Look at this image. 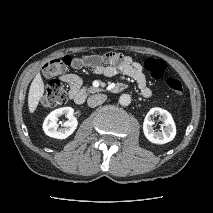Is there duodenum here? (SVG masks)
Returning <instances> with one entry per match:
<instances>
[{
    "mask_svg": "<svg viewBox=\"0 0 213 213\" xmlns=\"http://www.w3.org/2000/svg\"><path fill=\"white\" fill-rule=\"evenodd\" d=\"M127 86L123 83H118L114 86H112L109 91L111 93H120L123 92ZM101 91L98 89H90V90H80L78 91L75 96L73 97V100L76 104H83L87 97L94 94H99Z\"/></svg>",
    "mask_w": 213,
    "mask_h": 213,
    "instance_id": "410a0bca",
    "label": "duodenum"
}]
</instances>
